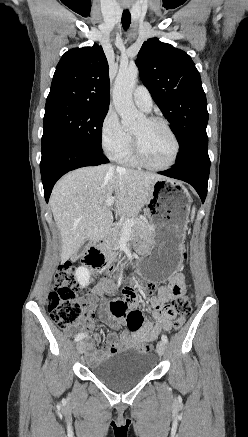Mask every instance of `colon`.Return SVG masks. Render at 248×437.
<instances>
[{
    "label": "colon",
    "mask_w": 248,
    "mask_h": 437,
    "mask_svg": "<svg viewBox=\"0 0 248 437\" xmlns=\"http://www.w3.org/2000/svg\"><path fill=\"white\" fill-rule=\"evenodd\" d=\"M87 264L93 268L95 277L108 279L113 275L112 270L104 266L103 257H99ZM118 277L123 281H128L133 287H137L147 295H152L155 292V286H147L146 283L136 279L128 280L124 275H119ZM133 287L128 288L134 290ZM82 292L83 290L76 280L75 267L72 263L66 262L60 266L55 274L53 287L49 293L47 303L49 315L58 327L62 329L72 328L88 319L89 313L86 303L83 299L79 298V294ZM190 311V296L179 295L174 299L172 305L169 306V313L173 316L176 315L173 321V328L175 330H179L182 327ZM152 349L153 346L149 343L139 345V350L144 353L151 352Z\"/></svg>",
    "instance_id": "1"
}]
</instances>
